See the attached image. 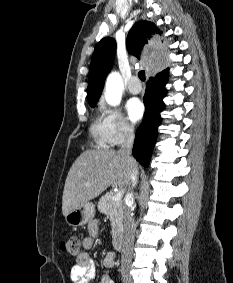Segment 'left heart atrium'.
<instances>
[{
  "label": "left heart atrium",
  "mask_w": 233,
  "mask_h": 283,
  "mask_svg": "<svg viewBox=\"0 0 233 283\" xmlns=\"http://www.w3.org/2000/svg\"><path fill=\"white\" fill-rule=\"evenodd\" d=\"M126 111L132 122H138L144 114V105L138 98H131L126 103Z\"/></svg>",
  "instance_id": "1"
}]
</instances>
